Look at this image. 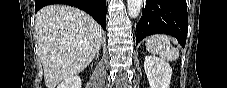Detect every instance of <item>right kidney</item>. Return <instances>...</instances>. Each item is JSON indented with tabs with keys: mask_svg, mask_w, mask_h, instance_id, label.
Instances as JSON below:
<instances>
[{
	"mask_svg": "<svg viewBox=\"0 0 227 88\" xmlns=\"http://www.w3.org/2000/svg\"><path fill=\"white\" fill-rule=\"evenodd\" d=\"M81 79L79 76H71L62 81L57 88H81Z\"/></svg>",
	"mask_w": 227,
	"mask_h": 88,
	"instance_id": "1",
	"label": "right kidney"
}]
</instances>
